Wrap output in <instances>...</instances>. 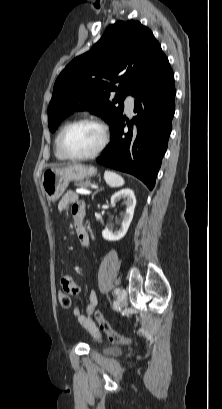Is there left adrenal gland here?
I'll return each mask as SVG.
<instances>
[{"label":"left adrenal gland","mask_w":222,"mask_h":409,"mask_svg":"<svg viewBox=\"0 0 222 409\" xmlns=\"http://www.w3.org/2000/svg\"><path fill=\"white\" fill-rule=\"evenodd\" d=\"M99 190H97L96 192L93 193L92 195V199L94 198V195L98 192Z\"/></svg>","instance_id":"1"}]
</instances>
